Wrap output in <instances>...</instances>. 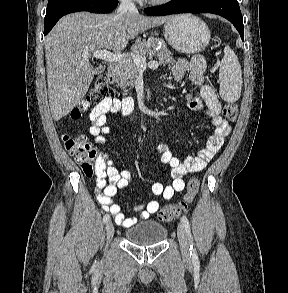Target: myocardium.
Wrapping results in <instances>:
<instances>
[{"label": "myocardium", "instance_id": "f54148a6", "mask_svg": "<svg viewBox=\"0 0 288 293\" xmlns=\"http://www.w3.org/2000/svg\"><path fill=\"white\" fill-rule=\"evenodd\" d=\"M148 1L154 5H164V4L169 3L172 0H148Z\"/></svg>", "mask_w": 288, "mask_h": 293}]
</instances>
